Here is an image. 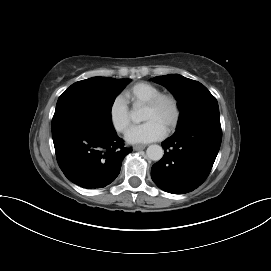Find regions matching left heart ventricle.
<instances>
[{"label":"left heart ventricle","mask_w":271,"mask_h":271,"mask_svg":"<svg viewBox=\"0 0 271 271\" xmlns=\"http://www.w3.org/2000/svg\"><path fill=\"white\" fill-rule=\"evenodd\" d=\"M142 118L144 121L155 120L167 129L173 118L172 105L168 101H163L154 109L144 107Z\"/></svg>","instance_id":"obj_1"}]
</instances>
